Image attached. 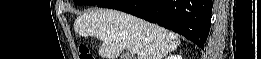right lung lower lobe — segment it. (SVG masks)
Instances as JSON below:
<instances>
[{
  "instance_id": "obj_1",
  "label": "right lung lower lobe",
  "mask_w": 261,
  "mask_h": 59,
  "mask_svg": "<svg viewBox=\"0 0 261 59\" xmlns=\"http://www.w3.org/2000/svg\"><path fill=\"white\" fill-rule=\"evenodd\" d=\"M98 7L130 13L172 30L204 49L212 0H102Z\"/></svg>"
}]
</instances>
